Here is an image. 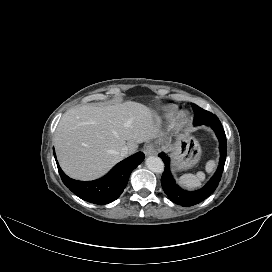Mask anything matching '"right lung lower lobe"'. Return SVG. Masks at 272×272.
<instances>
[{
	"instance_id": "obj_1",
	"label": "right lung lower lobe",
	"mask_w": 272,
	"mask_h": 272,
	"mask_svg": "<svg viewBox=\"0 0 272 272\" xmlns=\"http://www.w3.org/2000/svg\"><path fill=\"white\" fill-rule=\"evenodd\" d=\"M55 156V153H54ZM56 159V156H55ZM144 160V153L138 152L121 161L103 178L95 181H76L61 170L56 160L63 183L81 199L104 205L116 200L128 183L131 172Z\"/></svg>"
}]
</instances>
